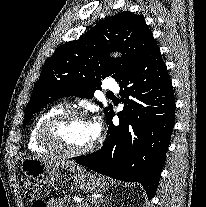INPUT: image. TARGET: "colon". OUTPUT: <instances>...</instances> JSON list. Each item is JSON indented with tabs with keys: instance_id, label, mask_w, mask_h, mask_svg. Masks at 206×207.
Instances as JSON below:
<instances>
[{
	"instance_id": "1",
	"label": "colon",
	"mask_w": 206,
	"mask_h": 207,
	"mask_svg": "<svg viewBox=\"0 0 206 207\" xmlns=\"http://www.w3.org/2000/svg\"><path fill=\"white\" fill-rule=\"evenodd\" d=\"M20 185L26 200L32 203V207H46L45 201L38 195V188L34 181L28 178H21Z\"/></svg>"
}]
</instances>
